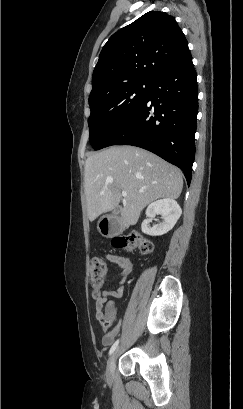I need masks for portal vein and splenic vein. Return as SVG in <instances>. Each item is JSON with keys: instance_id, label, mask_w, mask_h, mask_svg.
I'll list each match as a JSON object with an SVG mask.
<instances>
[{"instance_id": "portal-vein-and-splenic-vein-1", "label": "portal vein and splenic vein", "mask_w": 243, "mask_h": 409, "mask_svg": "<svg viewBox=\"0 0 243 409\" xmlns=\"http://www.w3.org/2000/svg\"><path fill=\"white\" fill-rule=\"evenodd\" d=\"M139 192L142 193L143 190H140ZM121 196H122V197H126V196H127V192H126V191H122V192H121Z\"/></svg>"}]
</instances>
